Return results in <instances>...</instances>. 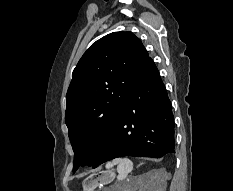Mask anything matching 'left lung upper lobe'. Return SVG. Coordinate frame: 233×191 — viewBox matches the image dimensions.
Masks as SVG:
<instances>
[{"mask_svg":"<svg viewBox=\"0 0 233 191\" xmlns=\"http://www.w3.org/2000/svg\"><path fill=\"white\" fill-rule=\"evenodd\" d=\"M149 55L131 32L96 41L75 67L66 95L65 122L75 159L73 172L92 166L116 123L131 86Z\"/></svg>","mask_w":233,"mask_h":191,"instance_id":"1","label":"left lung upper lobe"}]
</instances>
